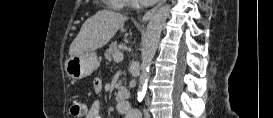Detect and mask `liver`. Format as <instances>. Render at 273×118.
<instances>
[{"label": "liver", "mask_w": 273, "mask_h": 118, "mask_svg": "<svg viewBox=\"0 0 273 118\" xmlns=\"http://www.w3.org/2000/svg\"><path fill=\"white\" fill-rule=\"evenodd\" d=\"M127 17L109 10L98 11L82 25L69 48L70 56L93 52L106 45L123 27Z\"/></svg>", "instance_id": "liver-1"}]
</instances>
